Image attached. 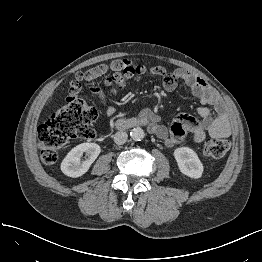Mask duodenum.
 I'll use <instances>...</instances> for the list:
<instances>
[{"instance_id": "410a0bca", "label": "duodenum", "mask_w": 262, "mask_h": 262, "mask_svg": "<svg viewBox=\"0 0 262 262\" xmlns=\"http://www.w3.org/2000/svg\"><path fill=\"white\" fill-rule=\"evenodd\" d=\"M136 126L148 127L147 124L142 119L126 118V117L120 118L115 124V127L118 130H126Z\"/></svg>"}]
</instances>
